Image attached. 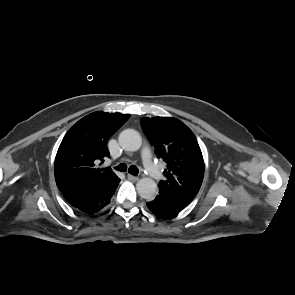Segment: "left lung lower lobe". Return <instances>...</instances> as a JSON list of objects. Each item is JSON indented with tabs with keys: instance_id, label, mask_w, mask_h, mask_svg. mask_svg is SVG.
Masks as SVG:
<instances>
[{
	"instance_id": "left-lung-lower-lobe-1",
	"label": "left lung lower lobe",
	"mask_w": 295,
	"mask_h": 295,
	"mask_svg": "<svg viewBox=\"0 0 295 295\" xmlns=\"http://www.w3.org/2000/svg\"><path fill=\"white\" fill-rule=\"evenodd\" d=\"M193 198L160 189L155 199L147 203L149 210L160 217H169L183 210Z\"/></svg>"
}]
</instances>
